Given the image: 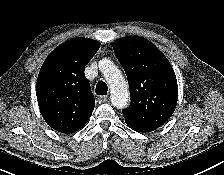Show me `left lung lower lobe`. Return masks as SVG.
<instances>
[{"label":"left lung lower lobe","mask_w":224,"mask_h":175,"mask_svg":"<svg viewBox=\"0 0 224 175\" xmlns=\"http://www.w3.org/2000/svg\"><path fill=\"white\" fill-rule=\"evenodd\" d=\"M130 128H132L133 130L135 131H138V132H150V131H153L157 128H141V127H132V126H129Z\"/></svg>","instance_id":"1"}]
</instances>
